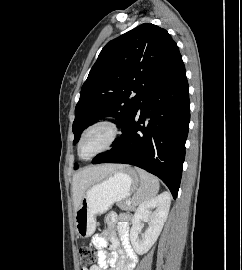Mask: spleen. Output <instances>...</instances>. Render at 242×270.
Listing matches in <instances>:
<instances>
[{"mask_svg":"<svg viewBox=\"0 0 242 270\" xmlns=\"http://www.w3.org/2000/svg\"><path fill=\"white\" fill-rule=\"evenodd\" d=\"M140 176V187L133 195V202L135 204H141L145 201L153 199L159 191L158 179L150 173L136 168Z\"/></svg>","mask_w":242,"mask_h":270,"instance_id":"spleen-1","label":"spleen"}]
</instances>
